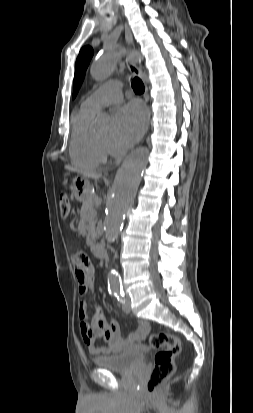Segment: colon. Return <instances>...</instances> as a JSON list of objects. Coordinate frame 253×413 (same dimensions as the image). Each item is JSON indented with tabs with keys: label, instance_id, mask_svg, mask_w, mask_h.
Masks as SVG:
<instances>
[{
	"label": "colon",
	"instance_id": "colon-1",
	"mask_svg": "<svg viewBox=\"0 0 253 413\" xmlns=\"http://www.w3.org/2000/svg\"><path fill=\"white\" fill-rule=\"evenodd\" d=\"M59 209L63 218L69 216L71 203L65 194L59 198ZM149 344L157 352L146 388L150 395H156L161 385L175 372V358L181 351V341L170 333L157 332L151 334Z\"/></svg>",
	"mask_w": 253,
	"mask_h": 413
}]
</instances>
